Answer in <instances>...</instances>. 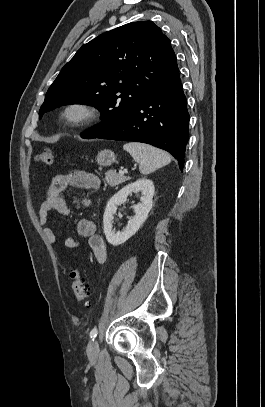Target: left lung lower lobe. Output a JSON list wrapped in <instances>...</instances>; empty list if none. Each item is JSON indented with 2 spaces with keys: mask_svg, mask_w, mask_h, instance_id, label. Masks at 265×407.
Returning <instances> with one entry per match:
<instances>
[{
  "mask_svg": "<svg viewBox=\"0 0 265 407\" xmlns=\"http://www.w3.org/2000/svg\"><path fill=\"white\" fill-rule=\"evenodd\" d=\"M189 119L178 71L153 88L124 120L96 137L151 144L170 152L183 170Z\"/></svg>",
  "mask_w": 265,
  "mask_h": 407,
  "instance_id": "1",
  "label": "left lung lower lobe"
}]
</instances>
